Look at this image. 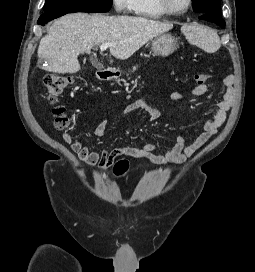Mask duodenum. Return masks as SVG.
Returning <instances> with one entry per match:
<instances>
[{"label":"duodenum","instance_id":"410a0bca","mask_svg":"<svg viewBox=\"0 0 255 272\" xmlns=\"http://www.w3.org/2000/svg\"><path fill=\"white\" fill-rule=\"evenodd\" d=\"M117 75L118 74L114 70L106 67H101L96 72V77L103 82L113 80Z\"/></svg>","mask_w":255,"mask_h":272}]
</instances>
